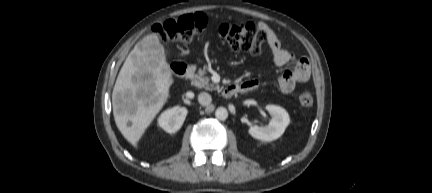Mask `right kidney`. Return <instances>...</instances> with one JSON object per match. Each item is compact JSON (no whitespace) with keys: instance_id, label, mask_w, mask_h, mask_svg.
<instances>
[{"instance_id":"1","label":"right kidney","mask_w":432,"mask_h":193,"mask_svg":"<svg viewBox=\"0 0 432 193\" xmlns=\"http://www.w3.org/2000/svg\"><path fill=\"white\" fill-rule=\"evenodd\" d=\"M187 113L184 107H173L160 115L158 124L166 132L175 133L181 128Z\"/></svg>"}]
</instances>
